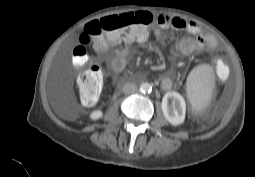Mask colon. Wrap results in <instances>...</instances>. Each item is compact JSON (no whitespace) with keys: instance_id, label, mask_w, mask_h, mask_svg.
Instances as JSON below:
<instances>
[{"instance_id":"5ec220e1","label":"colon","mask_w":255,"mask_h":177,"mask_svg":"<svg viewBox=\"0 0 255 177\" xmlns=\"http://www.w3.org/2000/svg\"><path fill=\"white\" fill-rule=\"evenodd\" d=\"M164 26V21L148 12L127 13L94 20L85 25L79 36V44L73 50V62L80 68L77 87L82 103L93 105L99 99L102 89L100 70L89 65L88 45L95 43L103 48L107 45L131 43L142 38L148 29Z\"/></svg>"}]
</instances>
